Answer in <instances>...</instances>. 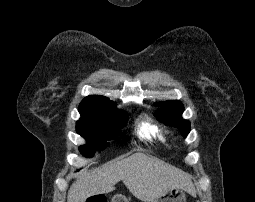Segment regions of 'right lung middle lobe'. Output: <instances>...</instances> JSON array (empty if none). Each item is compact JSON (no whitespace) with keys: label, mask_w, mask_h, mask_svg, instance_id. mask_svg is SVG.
Here are the masks:
<instances>
[{"label":"right lung middle lobe","mask_w":255,"mask_h":202,"mask_svg":"<svg viewBox=\"0 0 255 202\" xmlns=\"http://www.w3.org/2000/svg\"><path fill=\"white\" fill-rule=\"evenodd\" d=\"M127 119V114L122 111L105 118H81L76 131L87 140V144L80 147L81 153L89 157L95 150L105 149L108 146L105 140L113 139Z\"/></svg>","instance_id":"1"}]
</instances>
